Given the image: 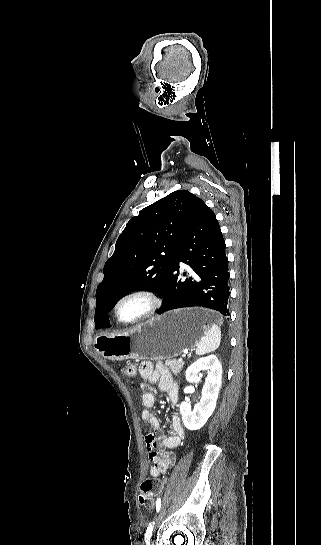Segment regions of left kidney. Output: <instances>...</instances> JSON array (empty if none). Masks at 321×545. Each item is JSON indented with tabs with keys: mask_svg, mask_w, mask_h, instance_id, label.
<instances>
[{
	"mask_svg": "<svg viewBox=\"0 0 321 545\" xmlns=\"http://www.w3.org/2000/svg\"><path fill=\"white\" fill-rule=\"evenodd\" d=\"M201 371H208V375L202 389L200 403H196L193 411H191L190 403H181L180 405L182 421L189 431H198L207 423L209 417L215 411L221 387L222 367L216 355L202 357V359L192 363L186 371L188 383H201Z\"/></svg>",
	"mask_w": 321,
	"mask_h": 545,
	"instance_id": "left-kidney-1",
	"label": "left kidney"
}]
</instances>
